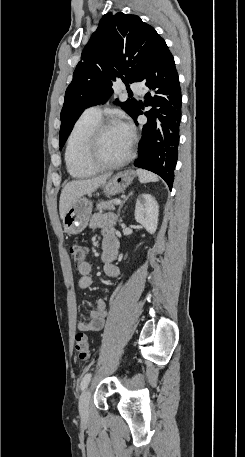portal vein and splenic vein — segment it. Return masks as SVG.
Masks as SVG:
<instances>
[{
	"label": "portal vein and splenic vein",
	"mask_w": 245,
	"mask_h": 457,
	"mask_svg": "<svg viewBox=\"0 0 245 457\" xmlns=\"http://www.w3.org/2000/svg\"><path fill=\"white\" fill-rule=\"evenodd\" d=\"M114 202H115V204H120L121 200H120V198H115Z\"/></svg>",
	"instance_id": "portal-vein-and-splenic-vein-1"
}]
</instances>
